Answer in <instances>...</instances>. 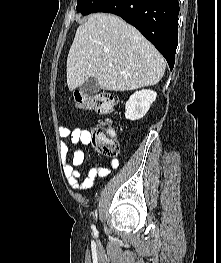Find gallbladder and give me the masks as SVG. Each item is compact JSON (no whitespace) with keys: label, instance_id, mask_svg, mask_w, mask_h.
Listing matches in <instances>:
<instances>
[{"label":"gallbladder","instance_id":"obj_1","mask_svg":"<svg viewBox=\"0 0 221 263\" xmlns=\"http://www.w3.org/2000/svg\"><path fill=\"white\" fill-rule=\"evenodd\" d=\"M99 90H100L99 83L97 79L94 77H90L80 86V92L83 95H93L98 93Z\"/></svg>","mask_w":221,"mask_h":263}]
</instances>
